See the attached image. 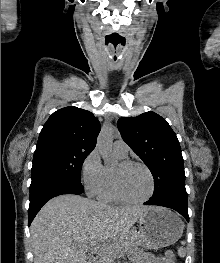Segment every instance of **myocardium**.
Here are the masks:
<instances>
[{"label":"myocardium","instance_id":"myocardium-1","mask_svg":"<svg viewBox=\"0 0 220 263\" xmlns=\"http://www.w3.org/2000/svg\"><path fill=\"white\" fill-rule=\"evenodd\" d=\"M119 164L121 167H129V166L137 165L145 169V171L147 172L150 178L151 187H150V191L148 195L145 196L144 198L137 199V200L129 199L122 193L121 188H120L118 172L115 169H113L112 170V186H113L114 194L117 197V199L123 203L132 204V205L143 204L149 201L155 192V186H156L155 177L151 169L145 163L136 161V160H122Z\"/></svg>","mask_w":220,"mask_h":263}]
</instances>
